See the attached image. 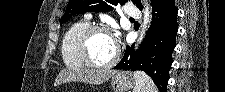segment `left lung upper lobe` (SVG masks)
Masks as SVG:
<instances>
[{
  "mask_svg": "<svg viewBox=\"0 0 225 92\" xmlns=\"http://www.w3.org/2000/svg\"><path fill=\"white\" fill-rule=\"evenodd\" d=\"M128 0H70L64 16L60 20V25L65 23L72 15L85 12H106L113 9L112 5L125 4ZM158 0H151V5H155ZM132 2L142 10L143 6L140 0H132Z\"/></svg>",
  "mask_w": 225,
  "mask_h": 92,
  "instance_id": "obj_1",
  "label": "left lung upper lobe"
}]
</instances>
